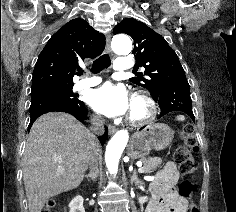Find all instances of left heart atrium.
I'll list each match as a JSON object with an SVG mask.
<instances>
[{
    "label": "left heart atrium",
    "mask_w": 236,
    "mask_h": 212,
    "mask_svg": "<svg viewBox=\"0 0 236 212\" xmlns=\"http://www.w3.org/2000/svg\"><path fill=\"white\" fill-rule=\"evenodd\" d=\"M88 103L95 111L107 117L124 115L131 108V100L125 87L112 83H105L93 90Z\"/></svg>",
    "instance_id": "1"
}]
</instances>
